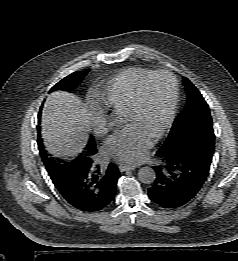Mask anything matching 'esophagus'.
I'll return each instance as SVG.
<instances>
[{
	"label": "esophagus",
	"instance_id": "34e87169",
	"mask_svg": "<svg viewBox=\"0 0 238 261\" xmlns=\"http://www.w3.org/2000/svg\"><path fill=\"white\" fill-rule=\"evenodd\" d=\"M136 167L133 166V165H128V164H121L119 166V169L121 172H124V171H128V170H134Z\"/></svg>",
	"mask_w": 238,
	"mask_h": 261
}]
</instances>
